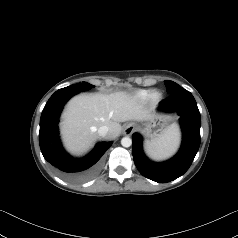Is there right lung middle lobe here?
<instances>
[{
  "label": "right lung middle lobe",
  "instance_id": "1",
  "mask_svg": "<svg viewBox=\"0 0 238 238\" xmlns=\"http://www.w3.org/2000/svg\"><path fill=\"white\" fill-rule=\"evenodd\" d=\"M78 87L82 88L83 90H88L92 88V85L89 83L83 82V83H78L76 84Z\"/></svg>",
  "mask_w": 238,
  "mask_h": 238
}]
</instances>
